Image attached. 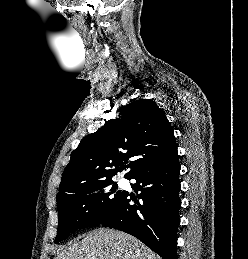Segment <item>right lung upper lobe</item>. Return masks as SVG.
I'll return each mask as SVG.
<instances>
[{
  "label": "right lung upper lobe",
  "instance_id": "cb5924a9",
  "mask_svg": "<svg viewBox=\"0 0 248 259\" xmlns=\"http://www.w3.org/2000/svg\"><path fill=\"white\" fill-rule=\"evenodd\" d=\"M118 111V118L85 136L71 153L57 200L73 188L111 180L131 157L135 160L128 165V179L177 154L173 128L154 101L140 99Z\"/></svg>",
  "mask_w": 248,
  "mask_h": 259
}]
</instances>
